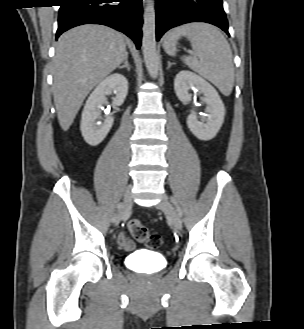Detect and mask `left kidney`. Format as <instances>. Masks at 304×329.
<instances>
[{"instance_id": "5707ae66", "label": "left kidney", "mask_w": 304, "mask_h": 329, "mask_svg": "<svg viewBox=\"0 0 304 329\" xmlns=\"http://www.w3.org/2000/svg\"><path fill=\"white\" fill-rule=\"evenodd\" d=\"M197 90L203 94V101L208 105L207 118L198 121L196 113L192 112L187 118V125L195 137L208 141L213 139L220 130L225 116L224 104L216 89L199 75L183 70L174 80V90L182 102H190V90Z\"/></svg>"}]
</instances>
